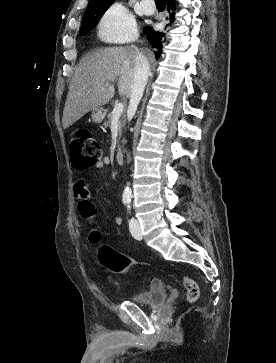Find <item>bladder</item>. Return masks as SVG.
Here are the masks:
<instances>
[{
    "label": "bladder",
    "mask_w": 276,
    "mask_h": 363,
    "mask_svg": "<svg viewBox=\"0 0 276 363\" xmlns=\"http://www.w3.org/2000/svg\"><path fill=\"white\" fill-rule=\"evenodd\" d=\"M167 298V288L163 285L150 284L145 290L135 295L130 301L148 307H158Z\"/></svg>",
    "instance_id": "bladder-1"
}]
</instances>
